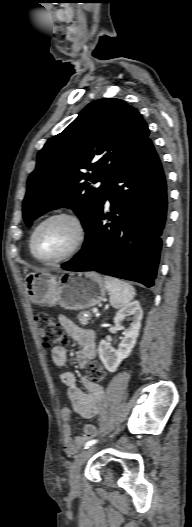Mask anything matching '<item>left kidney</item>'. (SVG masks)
Segmentation results:
<instances>
[{"instance_id": "1", "label": "left kidney", "mask_w": 192, "mask_h": 527, "mask_svg": "<svg viewBox=\"0 0 192 527\" xmlns=\"http://www.w3.org/2000/svg\"><path fill=\"white\" fill-rule=\"evenodd\" d=\"M127 316H131L129 318L131 323L124 330V337L118 350H115L106 340H101L99 344L98 351L100 360L109 372H115L117 370L121 362L130 355L136 344L143 316L142 308L138 301L129 303L120 309L114 317V323L120 326L123 319Z\"/></svg>"}]
</instances>
